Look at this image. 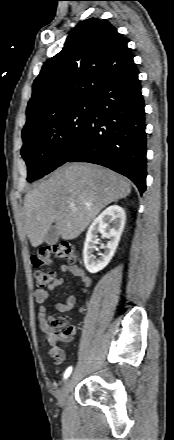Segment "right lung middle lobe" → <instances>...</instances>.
Listing matches in <instances>:
<instances>
[{
    "instance_id": "right-lung-middle-lobe-1",
    "label": "right lung middle lobe",
    "mask_w": 174,
    "mask_h": 440,
    "mask_svg": "<svg viewBox=\"0 0 174 440\" xmlns=\"http://www.w3.org/2000/svg\"><path fill=\"white\" fill-rule=\"evenodd\" d=\"M91 109V98H86L22 131L21 155L29 182L65 163L87 127Z\"/></svg>"
}]
</instances>
